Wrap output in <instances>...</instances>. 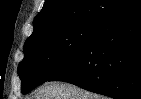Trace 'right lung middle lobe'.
Here are the masks:
<instances>
[{
  "label": "right lung middle lobe",
  "instance_id": "right-lung-middle-lobe-1",
  "mask_svg": "<svg viewBox=\"0 0 141 99\" xmlns=\"http://www.w3.org/2000/svg\"><path fill=\"white\" fill-rule=\"evenodd\" d=\"M99 23L78 22L26 41L25 56L18 66L21 92H30L66 66L92 38Z\"/></svg>",
  "mask_w": 141,
  "mask_h": 99
}]
</instances>
